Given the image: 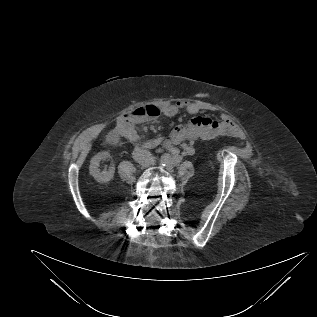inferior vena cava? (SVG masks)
Instances as JSON below:
<instances>
[{"mask_svg":"<svg viewBox=\"0 0 317 317\" xmlns=\"http://www.w3.org/2000/svg\"><path fill=\"white\" fill-rule=\"evenodd\" d=\"M132 155L133 159L144 167H148L153 163L152 154L148 150L135 148Z\"/></svg>","mask_w":317,"mask_h":317,"instance_id":"inferior-vena-cava-1","label":"inferior vena cava"}]
</instances>
